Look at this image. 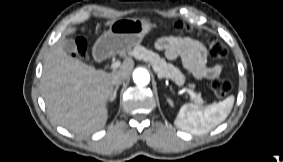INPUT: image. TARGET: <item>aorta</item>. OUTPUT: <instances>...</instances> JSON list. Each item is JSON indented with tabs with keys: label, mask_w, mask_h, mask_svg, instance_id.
<instances>
[{
	"label": "aorta",
	"mask_w": 283,
	"mask_h": 162,
	"mask_svg": "<svg viewBox=\"0 0 283 162\" xmlns=\"http://www.w3.org/2000/svg\"><path fill=\"white\" fill-rule=\"evenodd\" d=\"M133 80L138 86H146L150 82V74L146 69L137 68L133 72Z\"/></svg>",
	"instance_id": "762f6f07"
}]
</instances>
